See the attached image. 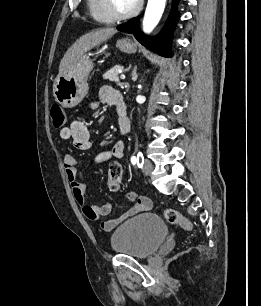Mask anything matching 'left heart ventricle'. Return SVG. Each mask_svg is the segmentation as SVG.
Masks as SVG:
<instances>
[{
    "mask_svg": "<svg viewBox=\"0 0 261 306\" xmlns=\"http://www.w3.org/2000/svg\"><path fill=\"white\" fill-rule=\"evenodd\" d=\"M138 0H113L115 9L120 13L130 11L135 7Z\"/></svg>",
    "mask_w": 261,
    "mask_h": 306,
    "instance_id": "b2bd125f",
    "label": "left heart ventricle"
}]
</instances>
